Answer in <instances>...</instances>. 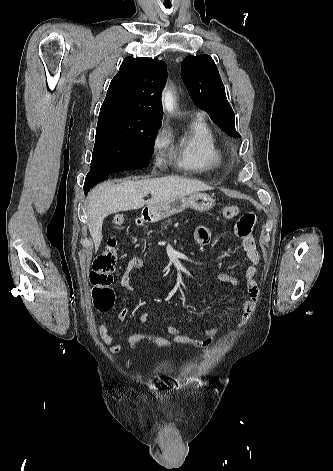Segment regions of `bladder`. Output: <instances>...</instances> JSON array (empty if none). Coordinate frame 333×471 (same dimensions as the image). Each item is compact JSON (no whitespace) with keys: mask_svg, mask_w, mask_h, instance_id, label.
I'll use <instances>...</instances> for the list:
<instances>
[{"mask_svg":"<svg viewBox=\"0 0 333 471\" xmlns=\"http://www.w3.org/2000/svg\"><path fill=\"white\" fill-rule=\"evenodd\" d=\"M168 369H169L168 364L165 362L158 364L155 368L157 372L168 371Z\"/></svg>","mask_w":333,"mask_h":471,"instance_id":"obj_1","label":"bladder"}]
</instances>
